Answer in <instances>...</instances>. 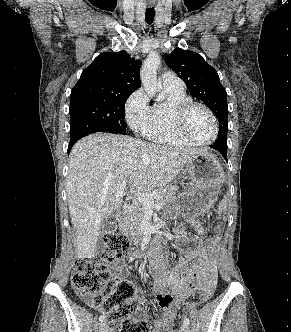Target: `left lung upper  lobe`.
Listing matches in <instances>:
<instances>
[{
	"instance_id": "left-lung-upper-lobe-1",
	"label": "left lung upper lobe",
	"mask_w": 291,
	"mask_h": 332,
	"mask_svg": "<svg viewBox=\"0 0 291 332\" xmlns=\"http://www.w3.org/2000/svg\"><path fill=\"white\" fill-rule=\"evenodd\" d=\"M165 62L185 82L189 92L206 104L217 116L220 127L218 139L226 141L227 93L220 83L217 71L198 53L179 48L167 55Z\"/></svg>"
}]
</instances>
